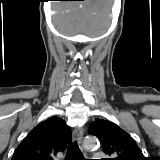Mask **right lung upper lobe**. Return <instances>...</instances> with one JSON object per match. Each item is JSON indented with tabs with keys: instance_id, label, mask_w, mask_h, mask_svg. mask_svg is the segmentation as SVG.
I'll return each mask as SVG.
<instances>
[{
	"instance_id": "obj_1",
	"label": "right lung upper lobe",
	"mask_w": 160,
	"mask_h": 160,
	"mask_svg": "<svg viewBox=\"0 0 160 160\" xmlns=\"http://www.w3.org/2000/svg\"><path fill=\"white\" fill-rule=\"evenodd\" d=\"M71 129L59 117L37 125L14 151L11 160H53L71 141Z\"/></svg>"
}]
</instances>
